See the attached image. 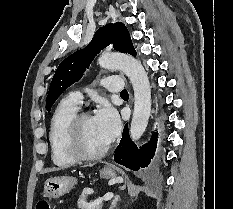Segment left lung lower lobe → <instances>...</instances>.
Instances as JSON below:
<instances>
[{
  "label": "left lung lower lobe",
  "mask_w": 233,
  "mask_h": 209,
  "mask_svg": "<svg viewBox=\"0 0 233 209\" xmlns=\"http://www.w3.org/2000/svg\"><path fill=\"white\" fill-rule=\"evenodd\" d=\"M156 145L157 136L153 135L151 140L138 150L130 140L128 124H126L122 139L114 154V161L134 171L139 170V167H147L154 157Z\"/></svg>",
  "instance_id": "1"
}]
</instances>
